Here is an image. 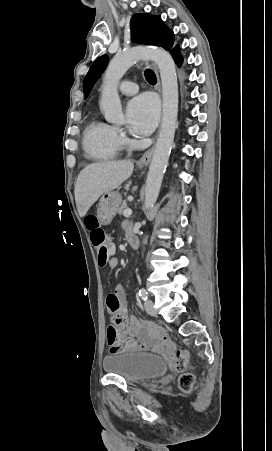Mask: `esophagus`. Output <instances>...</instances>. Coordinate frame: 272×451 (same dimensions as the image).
Instances as JSON below:
<instances>
[{"label":"esophagus","instance_id":"1","mask_svg":"<svg viewBox=\"0 0 272 451\" xmlns=\"http://www.w3.org/2000/svg\"><path fill=\"white\" fill-rule=\"evenodd\" d=\"M152 67H153V69H154V71L156 73V76H157L156 90L158 92H160L161 85H160L158 69H157V67H156V65L154 63H152ZM152 154H153V149H149L148 151H146L144 153V155L140 158L139 162H138L139 166L144 167V166L148 165L150 163V161H151Z\"/></svg>","mask_w":272,"mask_h":451}]
</instances>
